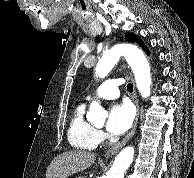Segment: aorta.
<instances>
[{
    "label": "aorta",
    "mask_w": 194,
    "mask_h": 178,
    "mask_svg": "<svg viewBox=\"0 0 194 178\" xmlns=\"http://www.w3.org/2000/svg\"><path fill=\"white\" fill-rule=\"evenodd\" d=\"M123 56L130 65L134 75L138 91L143 98L150 96L151 74L150 65L144 53L135 45L119 44L107 51L98 61L95 73L97 77L104 78L112 70L114 65ZM106 112L97 102H92L87 113V119L92 123L103 122ZM134 156V148H124L115 158L107 178H124L125 171L131 165Z\"/></svg>",
    "instance_id": "762f6f07"
}]
</instances>
